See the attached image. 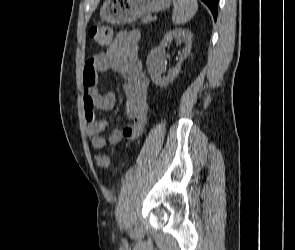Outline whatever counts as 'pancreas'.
<instances>
[{
	"mask_svg": "<svg viewBox=\"0 0 295 250\" xmlns=\"http://www.w3.org/2000/svg\"><path fill=\"white\" fill-rule=\"evenodd\" d=\"M151 21V16L150 15H146L143 19H142V23H147Z\"/></svg>",
	"mask_w": 295,
	"mask_h": 250,
	"instance_id": "obj_1",
	"label": "pancreas"
}]
</instances>
